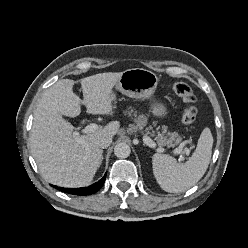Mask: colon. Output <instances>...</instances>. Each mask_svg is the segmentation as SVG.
<instances>
[{"label": "colon", "instance_id": "colon-1", "mask_svg": "<svg viewBox=\"0 0 248 248\" xmlns=\"http://www.w3.org/2000/svg\"><path fill=\"white\" fill-rule=\"evenodd\" d=\"M173 90L185 103L182 114V122L186 126L192 125L197 117V108L195 106L196 97L191 87L185 82H176Z\"/></svg>", "mask_w": 248, "mask_h": 248}]
</instances>
